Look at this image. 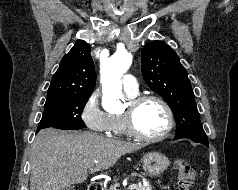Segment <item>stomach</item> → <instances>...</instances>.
<instances>
[{"instance_id": "0dacf381", "label": "stomach", "mask_w": 238, "mask_h": 190, "mask_svg": "<svg viewBox=\"0 0 238 190\" xmlns=\"http://www.w3.org/2000/svg\"><path fill=\"white\" fill-rule=\"evenodd\" d=\"M142 161L143 168L150 177L160 176L170 165L169 159L159 152L145 154Z\"/></svg>"}]
</instances>
